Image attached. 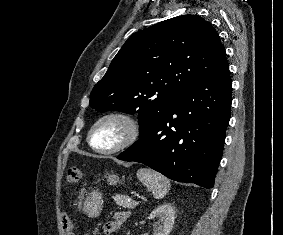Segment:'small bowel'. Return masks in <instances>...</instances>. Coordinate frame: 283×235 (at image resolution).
<instances>
[{
	"label": "small bowel",
	"mask_w": 283,
	"mask_h": 235,
	"mask_svg": "<svg viewBox=\"0 0 283 235\" xmlns=\"http://www.w3.org/2000/svg\"><path fill=\"white\" fill-rule=\"evenodd\" d=\"M128 217H129L128 212L115 213L113 216V219L105 223L103 226V231L105 235H114L120 229V227L124 224V222H126ZM63 226L64 228H68L69 230H71L70 235H75L72 232L71 221L67 217H65L63 220Z\"/></svg>",
	"instance_id": "c3829d8e"
}]
</instances>
